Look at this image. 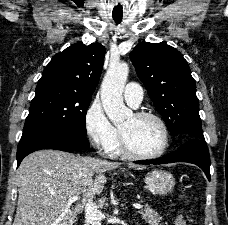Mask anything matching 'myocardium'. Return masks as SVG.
I'll return each mask as SVG.
<instances>
[{"label":"myocardium","mask_w":228,"mask_h":225,"mask_svg":"<svg viewBox=\"0 0 228 225\" xmlns=\"http://www.w3.org/2000/svg\"><path fill=\"white\" fill-rule=\"evenodd\" d=\"M134 116L138 119L150 118V119L157 121L160 124V126L163 129V133H164L163 146L158 152H156L154 154H141L131 148V146L129 145V143L127 141L125 133L121 130L120 131V147H121L122 152L131 158L140 159V160H154V159H158V158L162 157L164 155V153L166 152V150L168 149V146L170 143V131H169V128H168V125L166 124V122L160 116H158L154 113H150V112H138V113L134 114Z\"/></svg>","instance_id":"f54148a6"}]
</instances>
